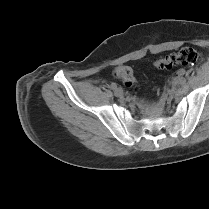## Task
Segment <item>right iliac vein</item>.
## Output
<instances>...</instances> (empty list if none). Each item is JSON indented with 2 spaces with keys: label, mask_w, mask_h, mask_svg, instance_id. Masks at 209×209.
I'll return each mask as SVG.
<instances>
[{
  "label": "right iliac vein",
  "mask_w": 209,
  "mask_h": 209,
  "mask_svg": "<svg viewBox=\"0 0 209 209\" xmlns=\"http://www.w3.org/2000/svg\"><path fill=\"white\" fill-rule=\"evenodd\" d=\"M114 94H115V96H117V97H122V96H123V90H122L121 88H116V89L114 90Z\"/></svg>",
  "instance_id": "1"
}]
</instances>
